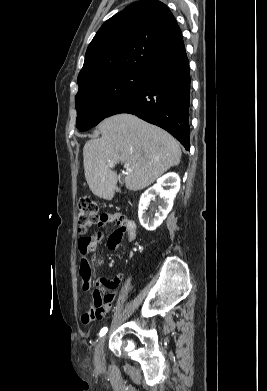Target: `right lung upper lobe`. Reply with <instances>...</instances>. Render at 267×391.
Instances as JSON below:
<instances>
[{"mask_svg": "<svg viewBox=\"0 0 267 391\" xmlns=\"http://www.w3.org/2000/svg\"><path fill=\"white\" fill-rule=\"evenodd\" d=\"M185 51L181 30L169 8L156 0L134 2L108 19L89 44L79 89L102 74L146 73Z\"/></svg>", "mask_w": 267, "mask_h": 391, "instance_id": "right-lung-upper-lobe-1", "label": "right lung upper lobe"}]
</instances>
